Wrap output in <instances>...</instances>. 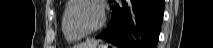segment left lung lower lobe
I'll use <instances>...</instances> for the list:
<instances>
[{"instance_id": "left-lung-lower-lobe-1", "label": "left lung lower lobe", "mask_w": 213, "mask_h": 48, "mask_svg": "<svg viewBox=\"0 0 213 48\" xmlns=\"http://www.w3.org/2000/svg\"><path fill=\"white\" fill-rule=\"evenodd\" d=\"M163 13L164 0H122L113 5L111 20L97 38L119 48H156Z\"/></svg>"}]
</instances>
